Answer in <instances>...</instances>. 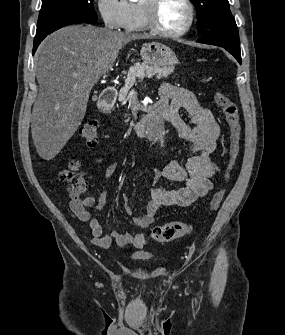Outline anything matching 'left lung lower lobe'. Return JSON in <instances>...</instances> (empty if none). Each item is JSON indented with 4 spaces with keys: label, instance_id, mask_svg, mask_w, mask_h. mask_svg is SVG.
<instances>
[{
    "label": "left lung lower lobe",
    "instance_id": "0a47b994",
    "mask_svg": "<svg viewBox=\"0 0 285 335\" xmlns=\"http://www.w3.org/2000/svg\"><path fill=\"white\" fill-rule=\"evenodd\" d=\"M198 42L225 48L241 64L240 41L236 25L209 29L207 34L202 36Z\"/></svg>",
    "mask_w": 285,
    "mask_h": 335
}]
</instances>
